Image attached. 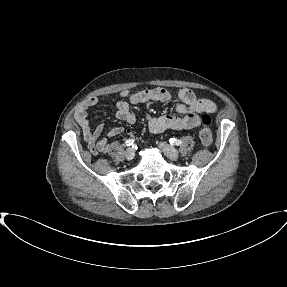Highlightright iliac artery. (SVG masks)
<instances>
[{
	"label": "right iliac artery",
	"mask_w": 287,
	"mask_h": 287,
	"mask_svg": "<svg viewBox=\"0 0 287 287\" xmlns=\"http://www.w3.org/2000/svg\"><path fill=\"white\" fill-rule=\"evenodd\" d=\"M134 144V140L133 139H128V140H126V142H125V145L126 146H131V145H133Z\"/></svg>",
	"instance_id": "right-iliac-artery-1"
}]
</instances>
